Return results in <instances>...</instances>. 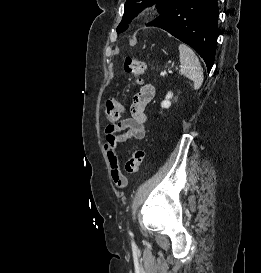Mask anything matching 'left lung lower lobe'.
<instances>
[{
  "label": "left lung lower lobe",
  "instance_id": "1",
  "mask_svg": "<svg viewBox=\"0 0 261 273\" xmlns=\"http://www.w3.org/2000/svg\"><path fill=\"white\" fill-rule=\"evenodd\" d=\"M161 15L147 26H155L191 46L213 66L218 30L217 0H174Z\"/></svg>",
  "mask_w": 261,
  "mask_h": 273
}]
</instances>
